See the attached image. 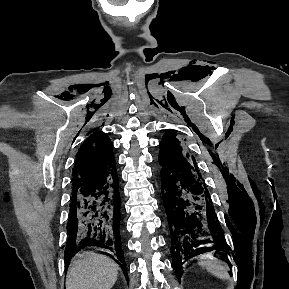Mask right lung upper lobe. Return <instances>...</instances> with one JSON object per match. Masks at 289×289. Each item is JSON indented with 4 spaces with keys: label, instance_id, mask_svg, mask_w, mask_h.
<instances>
[{
    "label": "right lung upper lobe",
    "instance_id": "obj_1",
    "mask_svg": "<svg viewBox=\"0 0 289 289\" xmlns=\"http://www.w3.org/2000/svg\"><path fill=\"white\" fill-rule=\"evenodd\" d=\"M113 146L105 133L91 134L77 152L72 187H79L115 171Z\"/></svg>",
    "mask_w": 289,
    "mask_h": 289
}]
</instances>
